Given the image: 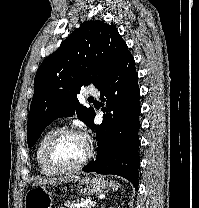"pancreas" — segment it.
Returning a JSON list of instances; mask_svg holds the SVG:
<instances>
[{
	"instance_id": "1",
	"label": "pancreas",
	"mask_w": 199,
	"mask_h": 208,
	"mask_svg": "<svg viewBox=\"0 0 199 208\" xmlns=\"http://www.w3.org/2000/svg\"><path fill=\"white\" fill-rule=\"evenodd\" d=\"M78 203V201L72 200V201H65L64 206L66 208H76V204ZM63 208V207H61Z\"/></svg>"
}]
</instances>
